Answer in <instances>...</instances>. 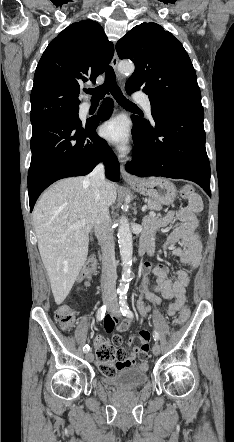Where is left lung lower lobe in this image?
I'll list each match as a JSON object with an SVG mask.
<instances>
[{
    "mask_svg": "<svg viewBox=\"0 0 234 442\" xmlns=\"http://www.w3.org/2000/svg\"><path fill=\"white\" fill-rule=\"evenodd\" d=\"M152 116L154 126L132 117L135 124L132 130L134 155L133 160L126 164V170L138 177L191 180L211 195L202 104H168L155 109Z\"/></svg>",
    "mask_w": 234,
    "mask_h": 442,
    "instance_id": "obj_1",
    "label": "left lung lower lobe"
}]
</instances>
